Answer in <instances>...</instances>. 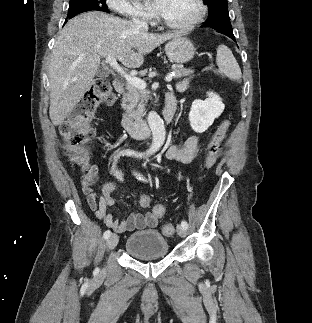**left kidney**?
<instances>
[{"label":"left kidney","mask_w":312,"mask_h":323,"mask_svg":"<svg viewBox=\"0 0 312 323\" xmlns=\"http://www.w3.org/2000/svg\"><path fill=\"white\" fill-rule=\"evenodd\" d=\"M207 94L206 100H194L189 114L190 126L197 134H203L205 130H208L225 108L217 94H212V92H207Z\"/></svg>","instance_id":"left-kidney-1"}]
</instances>
